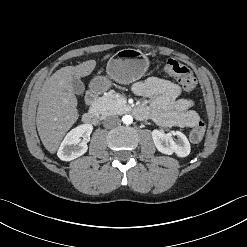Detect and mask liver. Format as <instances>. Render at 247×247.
Wrapping results in <instances>:
<instances>
[{
    "mask_svg": "<svg viewBox=\"0 0 247 247\" xmlns=\"http://www.w3.org/2000/svg\"><path fill=\"white\" fill-rule=\"evenodd\" d=\"M110 55L104 56V59ZM96 67L95 60L77 66H66L48 78L39 93L36 124L44 147L55 153L67 131L77 121V98L73 91V78L86 77Z\"/></svg>",
    "mask_w": 247,
    "mask_h": 247,
    "instance_id": "6515ba94",
    "label": "liver"
}]
</instances>
